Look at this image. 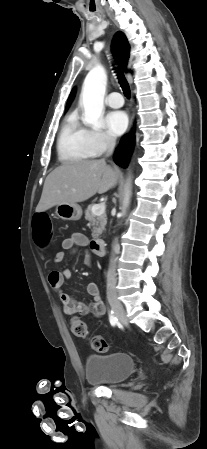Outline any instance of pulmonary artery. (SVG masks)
Wrapping results in <instances>:
<instances>
[{"label": "pulmonary artery", "instance_id": "pulmonary-artery-1", "mask_svg": "<svg viewBox=\"0 0 207 449\" xmlns=\"http://www.w3.org/2000/svg\"><path fill=\"white\" fill-rule=\"evenodd\" d=\"M105 102L108 106L112 108H119L123 106L124 99L119 92H112L107 96Z\"/></svg>", "mask_w": 207, "mask_h": 449}]
</instances>
